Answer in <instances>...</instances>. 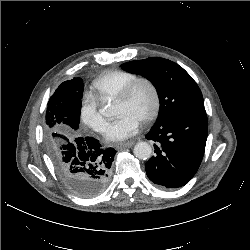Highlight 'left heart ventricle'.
<instances>
[{
    "mask_svg": "<svg viewBox=\"0 0 250 250\" xmlns=\"http://www.w3.org/2000/svg\"><path fill=\"white\" fill-rule=\"evenodd\" d=\"M152 103V94L149 88L145 85H140L129 100L125 102L116 101V112L118 115L129 113L142 120L150 111Z\"/></svg>",
    "mask_w": 250,
    "mask_h": 250,
    "instance_id": "obj_1",
    "label": "left heart ventricle"
}]
</instances>
